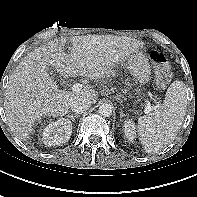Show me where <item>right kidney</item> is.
<instances>
[{
    "instance_id": "obj_1",
    "label": "right kidney",
    "mask_w": 197,
    "mask_h": 197,
    "mask_svg": "<svg viewBox=\"0 0 197 197\" xmlns=\"http://www.w3.org/2000/svg\"><path fill=\"white\" fill-rule=\"evenodd\" d=\"M72 133V123L68 119H58L50 122L43 130L42 141L47 146H55L66 143Z\"/></svg>"
}]
</instances>
